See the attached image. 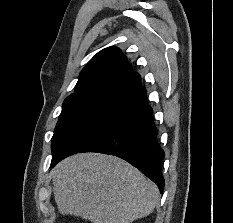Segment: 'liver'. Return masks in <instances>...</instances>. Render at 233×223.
<instances>
[{
    "instance_id": "obj_1",
    "label": "liver",
    "mask_w": 233,
    "mask_h": 223,
    "mask_svg": "<svg viewBox=\"0 0 233 223\" xmlns=\"http://www.w3.org/2000/svg\"><path fill=\"white\" fill-rule=\"evenodd\" d=\"M62 215L91 223H132L152 213L159 189L139 169L115 155L75 153L51 171Z\"/></svg>"
}]
</instances>
